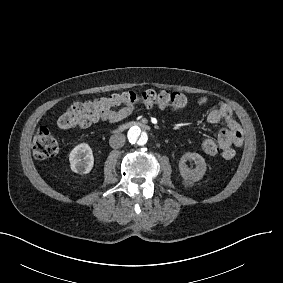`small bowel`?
Wrapping results in <instances>:
<instances>
[{
	"instance_id": "small-bowel-1",
	"label": "small bowel",
	"mask_w": 283,
	"mask_h": 283,
	"mask_svg": "<svg viewBox=\"0 0 283 283\" xmlns=\"http://www.w3.org/2000/svg\"><path fill=\"white\" fill-rule=\"evenodd\" d=\"M124 93L119 92L114 96H120ZM209 98L201 96L198 98L199 105H207ZM133 107H123L119 109H108L102 119L110 123H117L125 119L131 113ZM209 124L223 123L225 128L222 129L217 136L222 146L220 156L224 160H232L236 155L235 147H239L244 142L243 131L240 124L236 121L231 107L223 102L218 103L212 110L209 111L206 118Z\"/></svg>"
}]
</instances>
